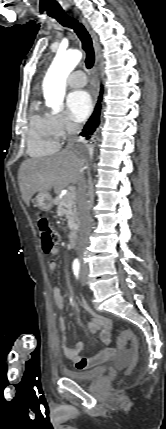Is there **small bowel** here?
<instances>
[{
	"label": "small bowel",
	"instance_id": "small-bowel-1",
	"mask_svg": "<svg viewBox=\"0 0 166 429\" xmlns=\"http://www.w3.org/2000/svg\"><path fill=\"white\" fill-rule=\"evenodd\" d=\"M59 252L57 247H54L49 253L52 255H57ZM48 269L51 272L57 270V263L54 260L48 262ZM53 299L55 306L58 310H63L65 308V296L62 293L60 287L56 285L53 289ZM82 307L89 313L91 320L87 325V330L91 334H97L99 341L106 345L105 348L97 352L96 354L89 357H82L81 351L83 350V345L81 343L70 344L67 337V326L63 319L59 320L60 332L62 336V348L65 356L74 363L75 367L79 370H85L105 361L113 358H126L133 353V349L125 350L124 348H115L110 346L111 343V330L112 322L111 320L97 314L94 312L89 305L85 302L84 299L80 300Z\"/></svg>",
	"mask_w": 166,
	"mask_h": 429
}]
</instances>
